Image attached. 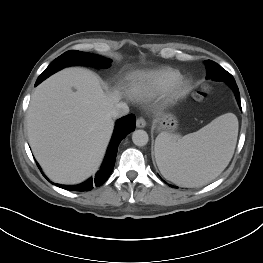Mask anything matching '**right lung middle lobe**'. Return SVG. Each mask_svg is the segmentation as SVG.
Segmentation results:
<instances>
[{"mask_svg":"<svg viewBox=\"0 0 263 263\" xmlns=\"http://www.w3.org/2000/svg\"><path fill=\"white\" fill-rule=\"evenodd\" d=\"M111 60L91 54L85 53L80 51H67L58 58H56L48 67L47 71L56 72L66 66L70 65H88V66H95L98 68H108L110 66Z\"/></svg>","mask_w":263,"mask_h":263,"instance_id":"1","label":"right lung middle lobe"}]
</instances>
